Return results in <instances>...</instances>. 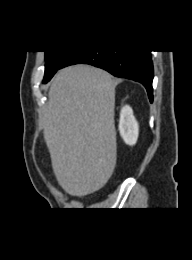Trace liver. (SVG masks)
<instances>
[{
	"label": "liver",
	"mask_w": 192,
	"mask_h": 260,
	"mask_svg": "<svg viewBox=\"0 0 192 260\" xmlns=\"http://www.w3.org/2000/svg\"><path fill=\"white\" fill-rule=\"evenodd\" d=\"M116 84L105 70L79 64L50 85L43 135L56 179L72 196L99 190L114 171Z\"/></svg>",
	"instance_id": "liver-1"
}]
</instances>
